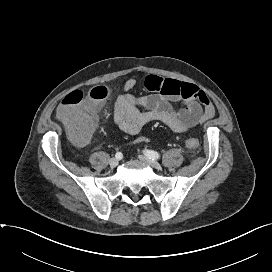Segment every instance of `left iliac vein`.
<instances>
[{
	"label": "left iliac vein",
	"mask_w": 272,
	"mask_h": 272,
	"mask_svg": "<svg viewBox=\"0 0 272 272\" xmlns=\"http://www.w3.org/2000/svg\"><path fill=\"white\" fill-rule=\"evenodd\" d=\"M139 159L144 161L145 163H148L153 168H156V169L161 168V165L159 164V162H157L156 160H153L147 156L139 155Z\"/></svg>",
	"instance_id": "1"
}]
</instances>
